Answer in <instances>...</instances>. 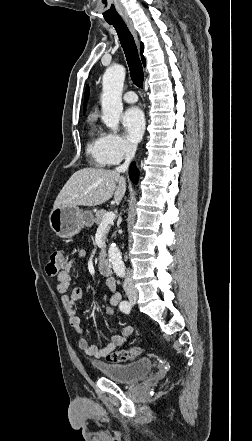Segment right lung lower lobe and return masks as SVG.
I'll return each instance as SVG.
<instances>
[{"label":"right lung lower lobe","instance_id":"obj_1","mask_svg":"<svg viewBox=\"0 0 252 441\" xmlns=\"http://www.w3.org/2000/svg\"><path fill=\"white\" fill-rule=\"evenodd\" d=\"M129 176L133 183H137L139 171L134 165H131L130 167Z\"/></svg>","mask_w":252,"mask_h":441}]
</instances>
